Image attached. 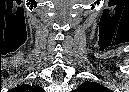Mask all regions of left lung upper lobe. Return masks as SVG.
I'll return each mask as SVG.
<instances>
[{
  "label": "left lung upper lobe",
  "instance_id": "5c2ea615",
  "mask_svg": "<svg viewBox=\"0 0 129 92\" xmlns=\"http://www.w3.org/2000/svg\"><path fill=\"white\" fill-rule=\"evenodd\" d=\"M76 92H110V90L103 85H99L95 82L86 81L81 84L76 90Z\"/></svg>",
  "mask_w": 129,
  "mask_h": 92
}]
</instances>
